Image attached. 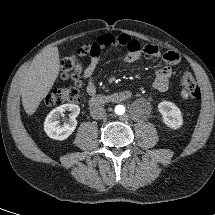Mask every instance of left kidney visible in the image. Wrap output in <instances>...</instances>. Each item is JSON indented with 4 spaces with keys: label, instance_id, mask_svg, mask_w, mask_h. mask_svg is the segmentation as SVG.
I'll return each mask as SVG.
<instances>
[{
    "label": "left kidney",
    "instance_id": "5707ae66",
    "mask_svg": "<svg viewBox=\"0 0 215 215\" xmlns=\"http://www.w3.org/2000/svg\"><path fill=\"white\" fill-rule=\"evenodd\" d=\"M162 120L168 127L178 129L183 125V117L180 109L170 101H163L158 104Z\"/></svg>",
    "mask_w": 215,
    "mask_h": 215
}]
</instances>
